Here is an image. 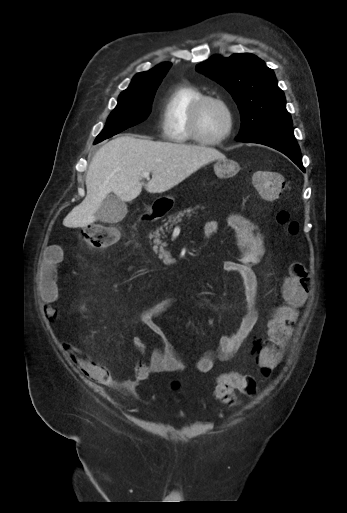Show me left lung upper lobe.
Wrapping results in <instances>:
<instances>
[{
  "mask_svg": "<svg viewBox=\"0 0 347 513\" xmlns=\"http://www.w3.org/2000/svg\"><path fill=\"white\" fill-rule=\"evenodd\" d=\"M196 69L221 84L238 105L241 128L237 141L273 128L292 126L275 74L258 57L249 53L229 58L214 55Z\"/></svg>",
  "mask_w": 347,
  "mask_h": 513,
  "instance_id": "left-lung-upper-lobe-1",
  "label": "left lung upper lobe"
}]
</instances>
